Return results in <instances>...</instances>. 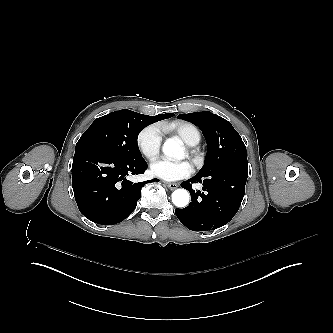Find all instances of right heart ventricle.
<instances>
[{
	"label": "right heart ventricle",
	"instance_id": "1",
	"mask_svg": "<svg viewBox=\"0 0 333 333\" xmlns=\"http://www.w3.org/2000/svg\"><path fill=\"white\" fill-rule=\"evenodd\" d=\"M160 134L164 132L162 127L158 128ZM174 137H180L188 146H195L200 143L201 135L199 130L192 124L179 122L174 127Z\"/></svg>",
	"mask_w": 333,
	"mask_h": 333
}]
</instances>
